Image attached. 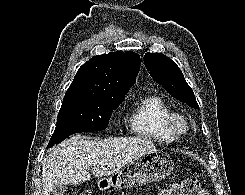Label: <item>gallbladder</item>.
<instances>
[{"label": "gallbladder", "mask_w": 245, "mask_h": 195, "mask_svg": "<svg viewBox=\"0 0 245 195\" xmlns=\"http://www.w3.org/2000/svg\"><path fill=\"white\" fill-rule=\"evenodd\" d=\"M67 189L66 185H58L52 190V193L53 195H64Z\"/></svg>", "instance_id": "gallbladder-1"}]
</instances>
